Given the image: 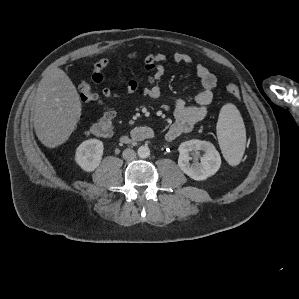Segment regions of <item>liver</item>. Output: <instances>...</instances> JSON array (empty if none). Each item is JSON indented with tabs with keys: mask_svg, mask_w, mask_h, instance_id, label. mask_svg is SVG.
I'll use <instances>...</instances> for the list:
<instances>
[{
	"mask_svg": "<svg viewBox=\"0 0 299 299\" xmlns=\"http://www.w3.org/2000/svg\"><path fill=\"white\" fill-rule=\"evenodd\" d=\"M81 102L75 85L60 68L46 71L39 82L33 107L36 136L48 148L65 143L81 116Z\"/></svg>",
	"mask_w": 299,
	"mask_h": 299,
	"instance_id": "obj_1",
	"label": "liver"
}]
</instances>
